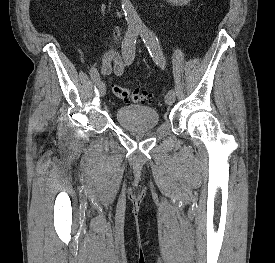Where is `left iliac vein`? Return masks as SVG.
Here are the masks:
<instances>
[{
  "instance_id": "left-iliac-vein-1",
  "label": "left iliac vein",
  "mask_w": 275,
  "mask_h": 263,
  "mask_svg": "<svg viewBox=\"0 0 275 263\" xmlns=\"http://www.w3.org/2000/svg\"><path fill=\"white\" fill-rule=\"evenodd\" d=\"M164 100L166 104L172 105L175 102V94L167 93Z\"/></svg>"
}]
</instances>
